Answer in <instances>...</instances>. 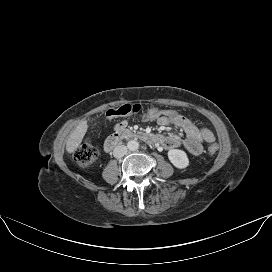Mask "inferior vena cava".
Wrapping results in <instances>:
<instances>
[{"label":"inferior vena cava","instance_id":"1","mask_svg":"<svg viewBox=\"0 0 272 272\" xmlns=\"http://www.w3.org/2000/svg\"><path fill=\"white\" fill-rule=\"evenodd\" d=\"M127 152H128V149L126 146L118 145L113 150V156L115 158H121V157L125 156L127 154Z\"/></svg>","mask_w":272,"mask_h":272}]
</instances>
